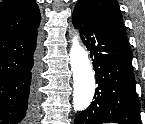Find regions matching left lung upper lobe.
<instances>
[{"instance_id":"1","label":"left lung upper lobe","mask_w":145,"mask_h":124,"mask_svg":"<svg viewBox=\"0 0 145 124\" xmlns=\"http://www.w3.org/2000/svg\"><path fill=\"white\" fill-rule=\"evenodd\" d=\"M74 10L84 13L96 24L126 38L117 0H78Z\"/></svg>"}]
</instances>
